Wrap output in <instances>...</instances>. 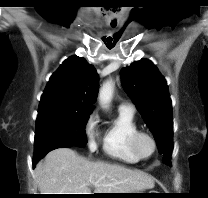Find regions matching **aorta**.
<instances>
[{
    "label": "aorta",
    "instance_id": "obj_1",
    "mask_svg": "<svg viewBox=\"0 0 208 198\" xmlns=\"http://www.w3.org/2000/svg\"><path fill=\"white\" fill-rule=\"evenodd\" d=\"M114 91V83L112 81H106L99 91V102L103 108H108L111 103Z\"/></svg>",
    "mask_w": 208,
    "mask_h": 198
}]
</instances>
